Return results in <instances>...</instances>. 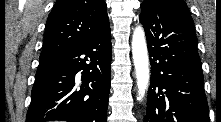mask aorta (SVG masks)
Segmentation results:
<instances>
[{
  "instance_id": "1",
  "label": "aorta",
  "mask_w": 221,
  "mask_h": 122,
  "mask_svg": "<svg viewBox=\"0 0 221 122\" xmlns=\"http://www.w3.org/2000/svg\"><path fill=\"white\" fill-rule=\"evenodd\" d=\"M132 56L135 66L138 100H142L148 89L150 80L149 59L145 33L142 27L138 26L132 36Z\"/></svg>"
}]
</instances>
